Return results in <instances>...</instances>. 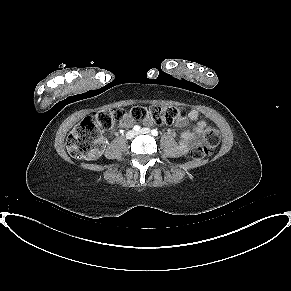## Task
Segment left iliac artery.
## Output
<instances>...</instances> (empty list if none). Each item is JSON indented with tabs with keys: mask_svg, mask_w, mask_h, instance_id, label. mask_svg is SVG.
Wrapping results in <instances>:
<instances>
[{
	"mask_svg": "<svg viewBox=\"0 0 291 291\" xmlns=\"http://www.w3.org/2000/svg\"><path fill=\"white\" fill-rule=\"evenodd\" d=\"M151 133H152L153 136H157L158 135V131L156 129H153L151 131Z\"/></svg>",
	"mask_w": 291,
	"mask_h": 291,
	"instance_id": "obj_1",
	"label": "left iliac artery"
}]
</instances>
